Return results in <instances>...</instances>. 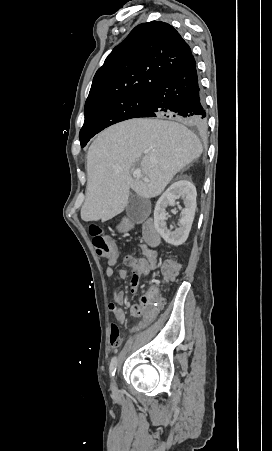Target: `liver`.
I'll return each instance as SVG.
<instances>
[{
	"mask_svg": "<svg viewBox=\"0 0 272 451\" xmlns=\"http://www.w3.org/2000/svg\"><path fill=\"white\" fill-rule=\"evenodd\" d=\"M169 120L134 118L98 134L87 156L84 222H106L121 214L129 190L141 198L160 196L177 172L200 158L202 144L197 136ZM137 162L149 182L132 178L130 170Z\"/></svg>",
	"mask_w": 272,
	"mask_h": 451,
	"instance_id": "liver-1",
	"label": "liver"
}]
</instances>
